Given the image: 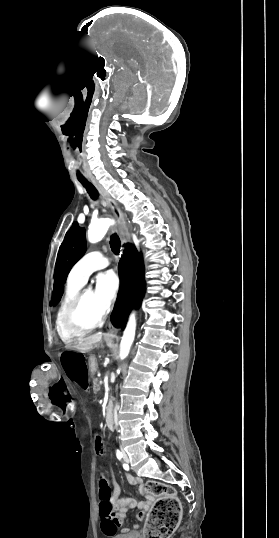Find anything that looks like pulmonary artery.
Listing matches in <instances>:
<instances>
[{"label":"pulmonary artery","mask_w":279,"mask_h":538,"mask_svg":"<svg viewBox=\"0 0 279 538\" xmlns=\"http://www.w3.org/2000/svg\"><path fill=\"white\" fill-rule=\"evenodd\" d=\"M109 264V255L101 252H91L81 258L73 267L74 278L86 282L95 271L105 268ZM78 266V267H77Z\"/></svg>","instance_id":"1"}]
</instances>
